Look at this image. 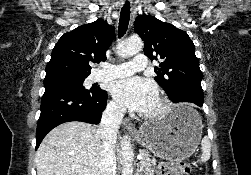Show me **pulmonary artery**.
<instances>
[{
	"instance_id": "obj_1",
	"label": "pulmonary artery",
	"mask_w": 251,
	"mask_h": 175,
	"mask_svg": "<svg viewBox=\"0 0 251 175\" xmlns=\"http://www.w3.org/2000/svg\"><path fill=\"white\" fill-rule=\"evenodd\" d=\"M134 58L135 62L124 61L123 63L110 64L111 67L99 79L118 78L132 74L136 70H147V67H150V58L145 52H137Z\"/></svg>"
}]
</instances>
